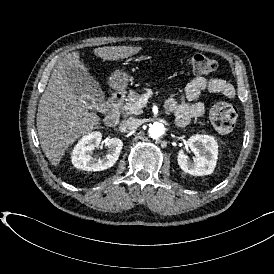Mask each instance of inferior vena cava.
<instances>
[{
  "instance_id": "inferior-vena-cava-1",
  "label": "inferior vena cava",
  "mask_w": 274,
  "mask_h": 274,
  "mask_svg": "<svg viewBox=\"0 0 274 274\" xmlns=\"http://www.w3.org/2000/svg\"><path fill=\"white\" fill-rule=\"evenodd\" d=\"M140 121L135 118H128L120 123V129L122 132L135 131L140 126Z\"/></svg>"
}]
</instances>
